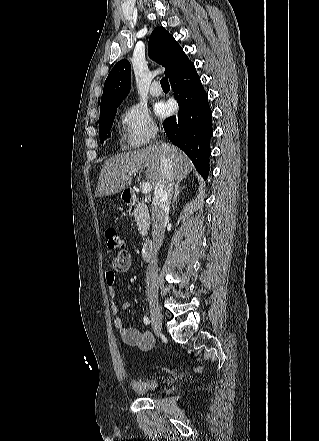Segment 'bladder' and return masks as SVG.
<instances>
[{
  "label": "bladder",
  "instance_id": "1",
  "mask_svg": "<svg viewBox=\"0 0 319 441\" xmlns=\"http://www.w3.org/2000/svg\"><path fill=\"white\" fill-rule=\"evenodd\" d=\"M131 385L137 394L141 396H149L156 391L158 381L155 378L133 379Z\"/></svg>",
  "mask_w": 319,
  "mask_h": 441
}]
</instances>
